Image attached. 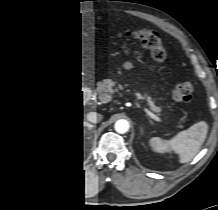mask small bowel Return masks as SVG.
Here are the masks:
<instances>
[{
    "mask_svg": "<svg viewBox=\"0 0 218 210\" xmlns=\"http://www.w3.org/2000/svg\"><path fill=\"white\" fill-rule=\"evenodd\" d=\"M123 66H124L125 69L130 70V69L133 68V63L130 62V61H127V62L124 63Z\"/></svg>",
    "mask_w": 218,
    "mask_h": 210,
    "instance_id": "obj_1",
    "label": "small bowel"
}]
</instances>
